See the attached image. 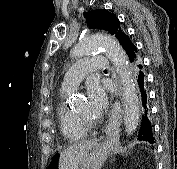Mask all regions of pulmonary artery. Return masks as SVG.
<instances>
[{
  "label": "pulmonary artery",
  "mask_w": 177,
  "mask_h": 169,
  "mask_svg": "<svg viewBox=\"0 0 177 169\" xmlns=\"http://www.w3.org/2000/svg\"><path fill=\"white\" fill-rule=\"evenodd\" d=\"M108 60L104 56L85 57L75 62L66 72L62 89L73 91L83 80L84 76L91 72H101L108 67Z\"/></svg>",
  "instance_id": "pulmonary-artery-1"
}]
</instances>
